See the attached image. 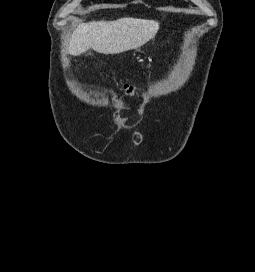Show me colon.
<instances>
[{"instance_id":"obj_1","label":"colon","mask_w":255,"mask_h":272,"mask_svg":"<svg viewBox=\"0 0 255 272\" xmlns=\"http://www.w3.org/2000/svg\"><path fill=\"white\" fill-rule=\"evenodd\" d=\"M125 89H126L128 94H132V87L130 85H126Z\"/></svg>"}]
</instances>
